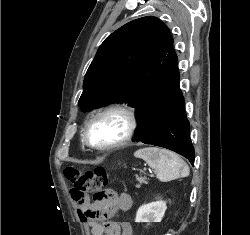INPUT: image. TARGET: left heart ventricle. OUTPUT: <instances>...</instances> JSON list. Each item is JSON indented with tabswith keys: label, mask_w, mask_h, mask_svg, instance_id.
Masks as SVG:
<instances>
[{
	"label": "left heart ventricle",
	"mask_w": 250,
	"mask_h": 235,
	"mask_svg": "<svg viewBox=\"0 0 250 235\" xmlns=\"http://www.w3.org/2000/svg\"><path fill=\"white\" fill-rule=\"evenodd\" d=\"M125 120L120 114H108L98 118L89 130L90 140L96 145L117 141L124 133Z\"/></svg>",
	"instance_id": "left-heart-ventricle-1"
}]
</instances>
